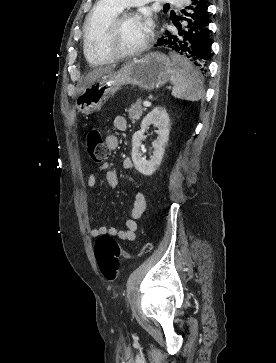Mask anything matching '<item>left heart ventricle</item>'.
<instances>
[{
	"label": "left heart ventricle",
	"mask_w": 276,
	"mask_h": 363,
	"mask_svg": "<svg viewBox=\"0 0 276 363\" xmlns=\"http://www.w3.org/2000/svg\"><path fill=\"white\" fill-rule=\"evenodd\" d=\"M147 36L140 17L134 16L123 21L114 44L118 49L131 50L142 44Z\"/></svg>",
	"instance_id": "1"
}]
</instances>
